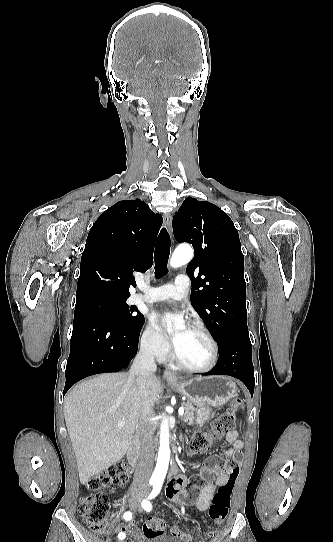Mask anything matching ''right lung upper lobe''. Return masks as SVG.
Here are the masks:
<instances>
[{
  "label": "right lung upper lobe",
  "mask_w": 333,
  "mask_h": 542,
  "mask_svg": "<svg viewBox=\"0 0 333 542\" xmlns=\"http://www.w3.org/2000/svg\"><path fill=\"white\" fill-rule=\"evenodd\" d=\"M142 200H124L103 212L89 231L81 257L76 303L105 293L128 299L136 286L133 271L153 265L154 243L162 225Z\"/></svg>",
  "instance_id": "right-lung-upper-lobe-1"
}]
</instances>
